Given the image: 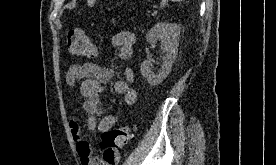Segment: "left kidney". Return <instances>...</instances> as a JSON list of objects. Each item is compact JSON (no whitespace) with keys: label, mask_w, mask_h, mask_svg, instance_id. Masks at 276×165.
Wrapping results in <instances>:
<instances>
[{"label":"left kidney","mask_w":276,"mask_h":165,"mask_svg":"<svg viewBox=\"0 0 276 165\" xmlns=\"http://www.w3.org/2000/svg\"><path fill=\"white\" fill-rule=\"evenodd\" d=\"M180 30V26L176 23L158 22L147 33L146 40L151 45L155 44L157 40H161V49L165 53L163 64L158 73L151 70L152 63L150 60L141 63V74L150 85L160 84L170 73L177 56Z\"/></svg>","instance_id":"left-kidney-1"}]
</instances>
